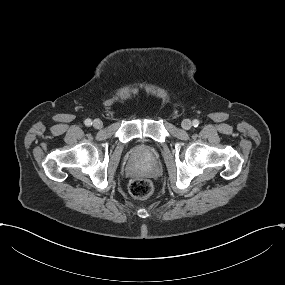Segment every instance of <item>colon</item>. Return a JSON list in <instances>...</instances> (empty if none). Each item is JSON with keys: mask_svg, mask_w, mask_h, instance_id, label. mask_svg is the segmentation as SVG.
<instances>
[{"mask_svg": "<svg viewBox=\"0 0 285 285\" xmlns=\"http://www.w3.org/2000/svg\"><path fill=\"white\" fill-rule=\"evenodd\" d=\"M153 183L148 179H134L129 183L130 195L137 200H146L153 193Z\"/></svg>", "mask_w": 285, "mask_h": 285, "instance_id": "5ec220e1", "label": "colon"}]
</instances>
